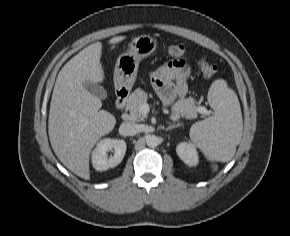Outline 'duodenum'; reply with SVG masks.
I'll return each instance as SVG.
<instances>
[{
	"label": "duodenum",
	"mask_w": 290,
	"mask_h": 236,
	"mask_svg": "<svg viewBox=\"0 0 290 236\" xmlns=\"http://www.w3.org/2000/svg\"><path fill=\"white\" fill-rule=\"evenodd\" d=\"M129 96V91L125 88H120L116 92L115 108L117 110H122L125 107L127 98Z\"/></svg>",
	"instance_id": "duodenum-1"
}]
</instances>
